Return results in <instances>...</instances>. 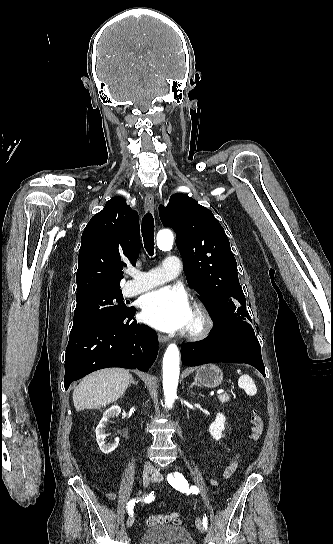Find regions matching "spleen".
I'll return each instance as SVG.
<instances>
[{"label": "spleen", "instance_id": "3e777b00", "mask_svg": "<svg viewBox=\"0 0 333 544\" xmlns=\"http://www.w3.org/2000/svg\"><path fill=\"white\" fill-rule=\"evenodd\" d=\"M238 374H241V370H237ZM238 386L245 390L249 396H254L257 392L256 386L253 380L247 374H242L238 379Z\"/></svg>", "mask_w": 333, "mask_h": 544}]
</instances>
